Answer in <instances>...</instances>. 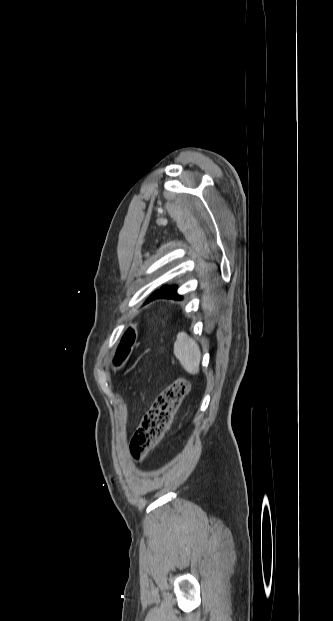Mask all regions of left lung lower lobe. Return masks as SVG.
Masks as SVG:
<instances>
[{"label":"left lung lower lobe","instance_id":"obj_1","mask_svg":"<svg viewBox=\"0 0 333 621\" xmlns=\"http://www.w3.org/2000/svg\"><path fill=\"white\" fill-rule=\"evenodd\" d=\"M175 299L181 300L182 296L177 294V286H163L158 292H156L150 299Z\"/></svg>","mask_w":333,"mask_h":621}]
</instances>
